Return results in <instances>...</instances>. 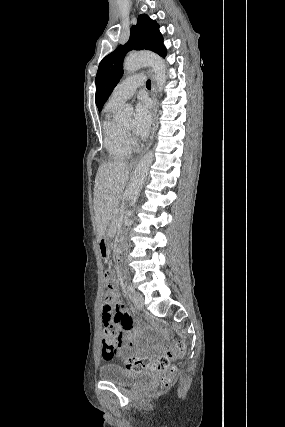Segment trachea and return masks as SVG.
<instances>
[{"mask_svg": "<svg viewBox=\"0 0 285 427\" xmlns=\"http://www.w3.org/2000/svg\"><path fill=\"white\" fill-rule=\"evenodd\" d=\"M146 87H147L148 89H150V88H151V81H150V80H147V82H146Z\"/></svg>", "mask_w": 285, "mask_h": 427, "instance_id": "1", "label": "trachea"}]
</instances>
